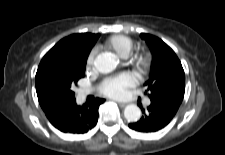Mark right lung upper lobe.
Masks as SVG:
<instances>
[{
	"mask_svg": "<svg viewBox=\"0 0 225 155\" xmlns=\"http://www.w3.org/2000/svg\"><path fill=\"white\" fill-rule=\"evenodd\" d=\"M99 34L78 33L60 40L42 58L36 73V92L43 111L64 101L47 83L46 73L54 65L85 61Z\"/></svg>",
	"mask_w": 225,
	"mask_h": 155,
	"instance_id": "cb5924a9",
	"label": "right lung upper lobe"
}]
</instances>
